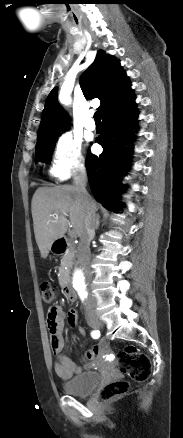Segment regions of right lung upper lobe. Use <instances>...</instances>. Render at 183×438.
<instances>
[{"label":"right lung upper lobe","mask_w":183,"mask_h":438,"mask_svg":"<svg viewBox=\"0 0 183 438\" xmlns=\"http://www.w3.org/2000/svg\"><path fill=\"white\" fill-rule=\"evenodd\" d=\"M80 86L87 100L98 98L101 115L133 94L129 78L117 59L97 52L94 62L82 74ZM58 88L47 97L38 129V138L58 133L69 125L68 116L57 101Z\"/></svg>","instance_id":"cb5924a9"}]
</instances>
